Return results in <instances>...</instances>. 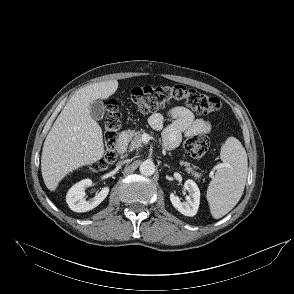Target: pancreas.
<instances>
[{"instance_id":"cf45deb5","label":"pancreas","mask_w":294,"mask_h":294,"mask_svg":"<svg viewBox=\"0 0 294 294\" xmlns=\"http://www.w3.org/2000/svg\"><path fill=\"white\" fill-rule=\"evenodd\" d=\"M145 134L144 129H140L138 131H131L128 134V140L130 141L129 144V149L132 151L134 149H139L143 146V140H142V135ZM181 165L185 166V171L189 174H191L196 180H199L202 176L201 173H198L196 171L197 167L191 165L189 162H180Z\"/></svg>"}]
</instances>
